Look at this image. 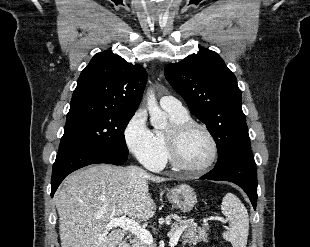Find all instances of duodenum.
Here are the masks:
<instances>
[{"label":"duodenum","instance_id":"410a0bca","mask_svg":"<svg viewBox=\"0 0 310 247\" xmlns=\"http://www.w3.org/2000/svg\"><path fill=\"white\" fill-rule=\"evenodd\" d=\"M118 247H128V243L125 240L119 242Z\"/></svg>","mask_w":310,"mask_h":247}]
</instances>
